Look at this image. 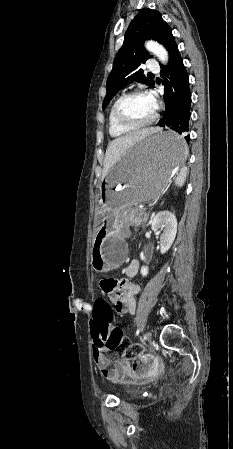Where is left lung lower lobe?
Segmentation results:
<instances>
[{
    "label": "left lung lower lobe",
    "mask_w": 233,
    "mask_h": 449,
    "mask_svg": "<svg viewBox=\"0 0 233 449\" xmlns=\"http://www.w3.org/2000/svg\"><path fill=\"white\" fill-rule=\"evenodd\" d=\"M161 75L164 78L166 110L158 126L171 130L165 139V147L174 152L180 150L190 140L188 132L191 115L189 78L178 48L171 54L168 65H161Z\"/></svg>",
    "instance_id": "1"
}]
</instances>
